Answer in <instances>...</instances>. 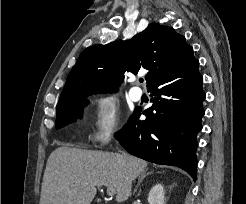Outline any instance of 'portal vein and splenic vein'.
<instances>
[{"instance_id":"portal-vein-and-splenic-vein-1","label":"portal vein and splenic vein","mask_w":246,"mask_h":204,"mask_svg":"<svg viewBox=\"0 0 246 204\" xmlns=\"http://www.w3.org/2000/svg\"><path fill=\"white\" fill-rule=\"evenodd\" d=\"M107 194L110 195V196L114 195L115 194L114 188L111 187V186H108L107 187Z\"/></svg>"}]
</instances>
